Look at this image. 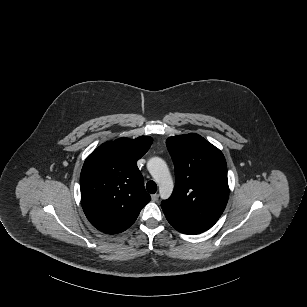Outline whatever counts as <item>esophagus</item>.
Returning a JSON list of instances; mask_svg holds the SVG:
<instances>
[{"mask_svg": "<svg viewBox=\"0 0 307 307\" xmlns=\"http://www.w3.org/2000/svg\"><path fill=\"white\" fill-rule=\"evenodd\" d=\"M151 199H152V201L157 202L158 199H159V195L158 194H152Z\"/></svg>", "mask_w": 307, "mask_h": 307, "instance_id": "esophagus-1", "label": "esophagus"}]
</instances>
